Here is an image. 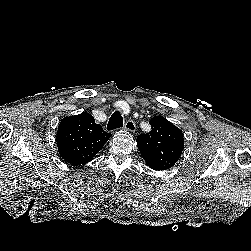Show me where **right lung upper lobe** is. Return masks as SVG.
I'll list each match as a JSON object with an SVG mask.
<instances>
[{
    "instance_id": "1",
    "label": "right lung upper lobe",
    "mask_w": 251,
    "mask_h": 251,
    "mask_svg": "<svg viewBox=\"0 0 251 251\" xmlns=\"http://www.w3.org/2000/svg\"><path fill=\"white\" fill-rule=\"evenodd\" d=\"M110 136L92 115L81 113L61 120L56 142L62 159L78 166L90 162Z\"/></svg>"
}]
</instances>
